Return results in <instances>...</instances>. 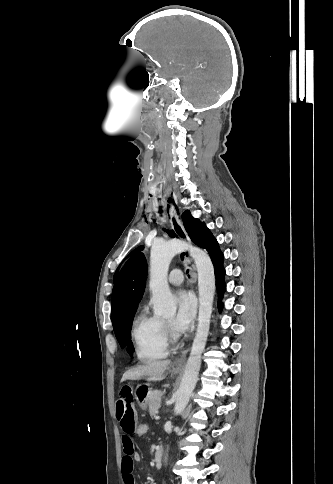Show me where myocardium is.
<instances>
[{"mask_svg": "<svg viewBox=\"0 0 333 484\" xmlns=\"http://www.w3.org/2000/svg\"><path fill=\"white\" fill-rule=\"evenodd\" d=\"M166 335L169 336L173 341L177 339V334L173 332L171 324L168 321H164Z\"/></svg>", "mask_w": 333, "mask_h": 484, "instance_id": "obj_1", "label": "myocardium"}]
</instances>
